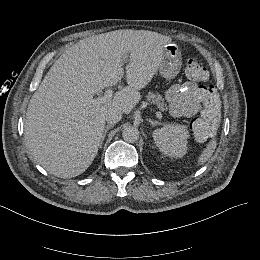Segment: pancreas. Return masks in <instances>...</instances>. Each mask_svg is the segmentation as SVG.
I'll return each mask as SVG.
<instances>
[{
    "mask_svg": "<svg viewBox=\"0 0 260 260\" xmlns=\"http://www.w3.org/2000/svg\"><path fill=\"white\" fill-rule=\"evenodd\" d=\"M149 99L152 100V103L161 111L164 112L167 108L165 99L160 94H150Z\"/></svg>",
    "mask_w": 260,
    "mask_h": 260,
    "instance_id": "pancreas-1",
    "label": "pancreas"
}]
</instances>
